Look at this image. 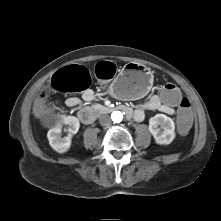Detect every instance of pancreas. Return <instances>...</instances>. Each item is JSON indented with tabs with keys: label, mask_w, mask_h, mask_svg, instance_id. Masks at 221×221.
<instances>
[{
	"label": "pancreas",
	"mask_w": 221,
	"mask_h": 221,
	"mask_svg": "<svg viewBox=\"0 0 221 221\" xmlns=\"http://www.w3.org/2000/svg\"><path fill=\"white\" fill-rule=\"evenodd\" d=\"M93 108H94L95 110H99V111H102L103 109H105L104 106L99 105V104H95V105H93Z\"/></svg>",
	"instance_id": "pancreas-1"
}]
</instances>
